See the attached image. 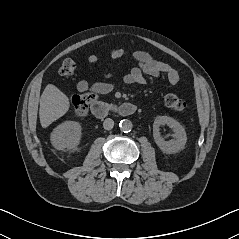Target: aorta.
<instances>
[{
    "instance_id": "obj_1",
    "label": "aorta",
    "mask_w": 239,
    "mask_h": 239,
    "mask_svg": "<svg viewBox=\"0 0 239 239\" xmlns=\"http://www.w3.org/2000/svg\"><path fill=\"white\" fill-rule=\"evenodd\" d=\"M119 128L122 132H130L133 128V124L130 120L128 119H123L119 123Z\"/></svg>"
}]
</instances>
